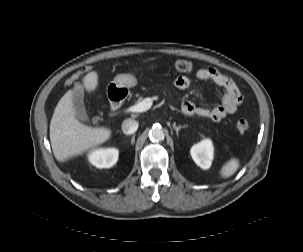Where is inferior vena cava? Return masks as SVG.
<instances>
[{
	"mask_svg": "<svg viewBox=\"0 0 303 252\" xmlns=\"http://www.w3.org/2000/svg\"><path fill=\"white\" fill-rule=\"evenodd\" d=\"M121 128L124 134H133L138 129V122L134 119H126L123 121Z\"/></svg>",
	"mask_w": 303,
	"mask_h": 252,
	"instance_id": "602c4592",
	"label": "inferior vena cava"
}]
</instances>
